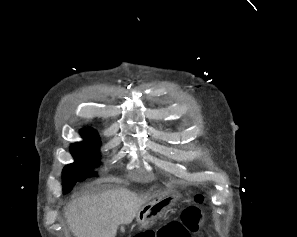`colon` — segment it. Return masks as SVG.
Returning a JSON list of instances; mask_svg holds the SVG:
<instances>
[{
	"mask_svg": "<svg viewBox=\"0 0 297 237\" xmlns=\"http://www.w3.org/2000/svg\"><path fill=\"white\" fill-rule=\"evenodd\" d=\"M203 202V196H195V204L188 206L182 212L180 220L172 221L157 232H145L134 237H191L197 234L202 222V214L198 204Z\"/></svg>",
	"mask_w": 297,
	"mask_h": 237,
	"instance_id": "obj_1",
	"label": "colon"
}]
</instances>
